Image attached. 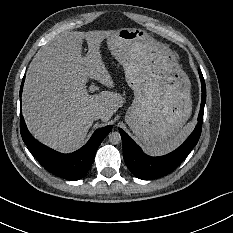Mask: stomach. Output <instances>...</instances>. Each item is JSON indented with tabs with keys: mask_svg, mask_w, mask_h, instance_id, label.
Masks as SVG:
<instances>
[{
	"mask_svg": "<svg viewBox=\"0 0 233 233\" xmlns=\"http://www.w3.org/2000/svg\"><path fill=\"white\" fill-rule=\"evenodd\" d=\"M134 92L125 122L146 147L172 141L191 116V81L175 53L144 29L119 28L105 38Z\"/></svg>",
	"mask_w": 233,
	"mask_h": 233,
	"instance_id": "0dacf381",
	"label": "stomach"
}]
</instances>
